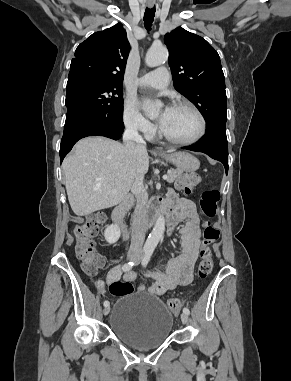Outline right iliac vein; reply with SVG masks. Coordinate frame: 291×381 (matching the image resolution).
Segmentation results:
<instances>
[{
	"label": "right iliac vein",
	"instance_id": "right-iliac-vein-1",
	"mask_svg": "<svg viewBox=\"0 0 291 381\" xmlns=\"http://www.w3.org/2000/svg\"><path fill=\"white\" fill-rule=\"evenodd\" d=\"M135 258H136V255H134V254H130V255H128V259H129V260H134ZM109 312H110V307H109V306H106V307L104 308V310H103V314L106 316V315L109 314Z\"/></svg>",
	"mask_w": 291,
	"mask_h": 381
}]
</instances>
